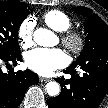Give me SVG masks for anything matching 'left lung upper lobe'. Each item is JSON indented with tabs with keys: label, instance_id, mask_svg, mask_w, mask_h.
Wrapping results in <instances>:
<instances>
[{
	"label": "left lung upper lobe",
	"instance_id": "obj_1",
	"mask_svg": "<svg viewBox=\"0 0 108 108\" xmlns=\"http://www.w3.org/2000/svg\"><path fill=\"white\" fill-rule=\"evenodd\" d=\"M73 10L87 17V20L85 23V46L72 65L79 66L85 63L108 64V26L87 7L79 6L73 8ZM66 95L70 101L74 100L76 99L77 91L69 90Z\"/></svg>",
	"mask_w": 108,
	"mask_h": 108
}]
</instances>
